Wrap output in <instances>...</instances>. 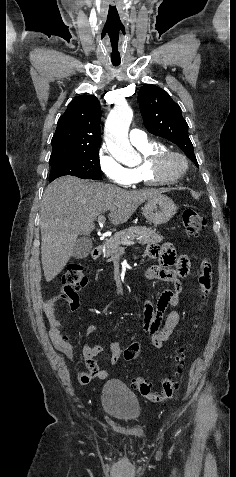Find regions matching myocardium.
I'll use <instances>...</instances> for the list:
<instances>
[{"mask_svg":"<svg viewBox=\"0 0 236 477\" xmlns=\"http://www.w3.org/2000/svg\"><path fill=\"white\" fill-rule=\"evenodd\" d=\"M172 159L179 160L182 167L177 173L169 175L165 173V166L167 162ZM145 167L149 177L157 183L174 184L184 177L188 170L189 163L184 154L178 151L165 149L151 155L146 160Z\"/></svg>","mask_w":236,"mask_h":477,"instance_id":"myocardium-1","label":"myocardium"}]
</instances>
